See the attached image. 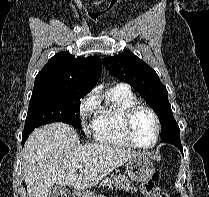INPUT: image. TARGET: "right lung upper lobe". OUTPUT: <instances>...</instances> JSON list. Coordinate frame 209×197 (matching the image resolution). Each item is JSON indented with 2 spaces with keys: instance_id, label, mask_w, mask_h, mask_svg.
Returning a JSON list of instances; mask_svg holds the SVG:
<instances>
[{
  "instance_id": "cb5924a9",
  "label": "right lung upper lobe",
  "mask_w": 209,
  "mask_h": 197,
  "mask_svg": "<svg viewBox=\"0 0 209 197\" xmlns=\"http://www.w3.org/2000/svg\"><path fill=\"white\" fill-rule=\"evenodd\" d=\"M102 64L97 56L87 58L60 52L49 59L35 82L77 84L92 89L101 76Z\"/></svg>"
}]
</instances>
